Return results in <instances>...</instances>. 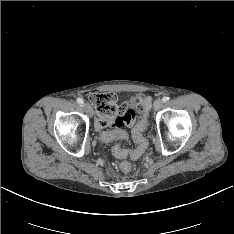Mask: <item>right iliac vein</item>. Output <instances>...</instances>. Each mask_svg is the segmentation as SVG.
<instances>
[{
	"instance_id": "1",
	"label": "right iliac vein",
	"mask_w": 234,
	"mask_h": 234,
	"mask_svg": "<svg viewBox=\"0 0 234 234\" xmlns=\"http://www.w3.org/2000/svg\"><path fill=\"white\" fill-rule=\"evenodd\" d=\"M83 109L88 115H92V108L88 103L83 104Z\"/></svg>"
}]
</instances>
